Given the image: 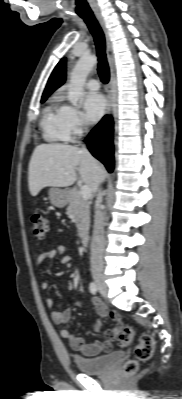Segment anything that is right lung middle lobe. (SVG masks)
<instances>
[{
    "instance_id": "dd1d6c3e",
    "label": "right lung middle lobe",
    "mask_w": 182,
    "mask_h": 399,
    "mask_svg": "<svg viewBox=\"0 0 182 399\" xmlns=\"http://www.w3.org/2000/svg\"><path fill=\"white\" fill-rule=\"evenodd\" d=\"M47 98H42L41 102L43 103Z\"/></svg>"
}]
</instances>
